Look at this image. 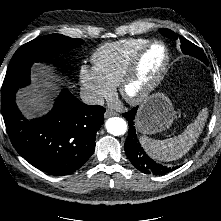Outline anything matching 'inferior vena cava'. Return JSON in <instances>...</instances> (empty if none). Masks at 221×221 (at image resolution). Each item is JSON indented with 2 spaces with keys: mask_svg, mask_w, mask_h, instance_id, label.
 I'll list each match as a JSON object with an SVG mask.
<instances>
[{
  "mask_svg": "<svg viewBox=\"0 0 221 221\" xmlns=\"http://www.w3.org/2000/svg\"><path fill=\"white\" fill-rule=\"evenodd\" d=\"M82 102L88 105H103L104 99L98 93L91 90H82L80 92Z\"/></svg>",
  "mask_w": 221,
  "mask_h": 221,
  "instance_id": "inferior-vena-cava-1",
  "label": "inferior vena cava"
}]
</instances>
